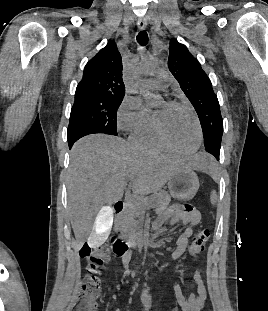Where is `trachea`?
I'll return each mask as SVG.
<instances>
[{
    "label": "trachea",
    "mask_w": 268,
    "mask_h": 311,
    "mask_svg": "<svg viewBox=\"0 0 268 311\" xmlns=\"http://www.w3.org/2000/svg\"><path fill=\"white\" fill-rule=\"evenodd\" d=\"M137 42L141 45V46H145L148 43V34L146 31H140L136 37Z\"/></svg>",
    "instance_id": "obj_1"
}]
</instances>
